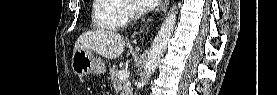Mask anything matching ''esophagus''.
<instances>
[{"mask_svg": "<svg viewBox=\"0 0 277 95\" xmlns=\"http://www.w3.org/2000/svg\"><path fill=\"white\" fill-rule=\"evenodd\" d=\"M169 5V0H163L158 8V11H166Z\"/></svg>", "mask_w": 277, "mask_h": 95, "instance_id": "1", "label": "esophagus"}]
</instances>
